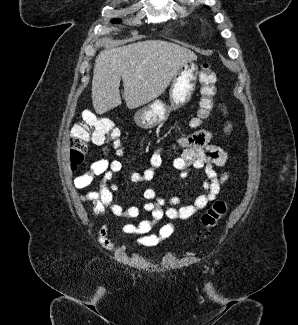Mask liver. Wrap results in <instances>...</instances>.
Here are the masks:
<instances>
[{"instance_id":"6515ba94","label":"liver","mask_w":298,"mask_h":325,"mask_svg":"<svg viewBox=\"0 0 298 325\" xmlns=\"http://www.w3.org/2000/svg\"><path fill=\"white\" fill-rule=\"evenodd\" d=\"M198 56L168 40H140L101 50L94 62L92 104L97 114L121 104L120 82L128 108H137L161 96L181 64Z\"/></svg>"}]
</instances>
